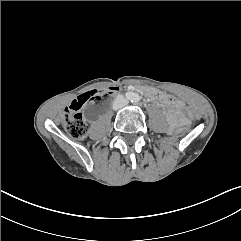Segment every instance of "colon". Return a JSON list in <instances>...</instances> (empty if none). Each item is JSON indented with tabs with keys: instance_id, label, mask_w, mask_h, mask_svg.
Instances as JSON below:
<instances>
[{
	"instance_id": "colon-1",
	"label": "colon",
	"mask_w": 241,
	"mask_h": 241,
	"mask_svg": "<svg viewBox=\"0 0 241 241\" xmlns=\"http://www.w3.org/2000/svg\"><path fill=\"white\" fill-rule=\"evenodd\" d=\"M115 89L116 88L111 87V88H108L107 90H92L90 92H86L80 95L77 98V100L71 105V107L66 110L64 114L63 127L66 130V132L74 139L84 138L87 134L88 127L79 109L87 101L93 98L100 97L104 94H108ZM157 93H161V92H157ZM161 94H164V93H161ZM172 130L175 136H180L182 134V130L184 133L187 134L190 132L191 129L187 125L184 126L183 129L180 126L176 125L173 127Z\"/></svg>"
}]
</instances>
